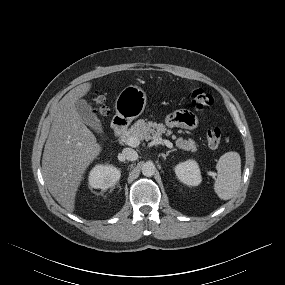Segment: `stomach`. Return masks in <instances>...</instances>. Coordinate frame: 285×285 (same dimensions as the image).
Segmentation results:
<instances>
[{"mask_svg": "<svg viewBox=\"0 0 285 285\" xmlns=\"http://www.w3.org/2000/svg\"><path fill=\"white\" fill-rule=\"evenodd\" d=\"M146 102V93L137 86L129 85L120 92L116 99V115L131 122L143 113Z\"/></svg>", "mask_w": 285, "mask_h": 285, "instance_id": "0dacf381", "label": "stomach"}]
</instances>
